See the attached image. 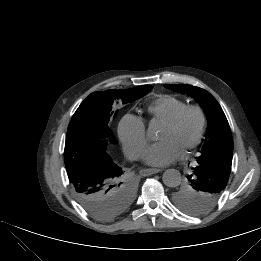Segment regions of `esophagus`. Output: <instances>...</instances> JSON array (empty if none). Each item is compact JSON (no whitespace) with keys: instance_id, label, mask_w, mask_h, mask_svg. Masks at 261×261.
<instances>
[{"instance_id":"obj_1","label":"esophagus","mask_w":261,"mask_h":261,"mask_svg":"<svg viewBox=\"0 0 261 261\" xmlns=\"http://www.w3.org/2000/svg\"><path fill=\"white\" fill-rule=\"evenodd\" d=\"M160 172V169H156V168H147V169H142L140 171V174L142 176H149V175H152V174H156Z\"/></svg>"}]
</instances>
